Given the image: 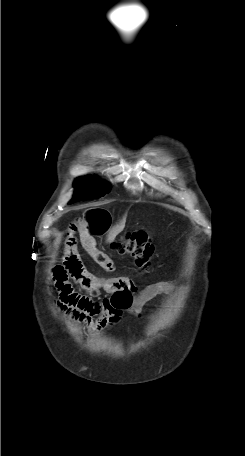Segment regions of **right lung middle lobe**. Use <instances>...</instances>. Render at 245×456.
<instances>
[{
	"mask_svg": "<svg viewBox=\"0 0 245 456\" xmlns=\"http://www.w3.org/2000/svg\"><path fill=\"white\" fill-rule=\"evenodd\" d=\"M75 195L70 203L96 199L110 192L108 183L91 177H81L75 180Z\"/></svg>",
	"mask_w": 245,
	"mask_h": 456,
	"instance_id": "dd1d6c3e",
	"label": "right lung middle lobe"
}]
</instances>
